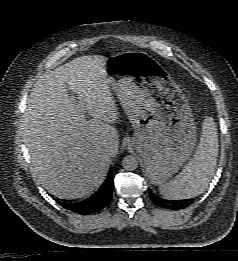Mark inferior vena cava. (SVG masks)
I'll use <instances>...</instances> for the list:
<instances>
[{"label": "inferior vena cava", "mask_w": 238, "mask_h": 261, "mask_svg": "<svg viewBox=\"0 0 238 261\" xmlns=\"http://www.w3.org/2000/svg\"><path fill=\"white\" fill-rule=\"evenodd\" d=\"M105 148H106V150H107V152H108L109 154L112 153L113 148H112V146H111L110 144H106Z\"/></svg>", "instance_id": "obj_1"}]
</instances>
